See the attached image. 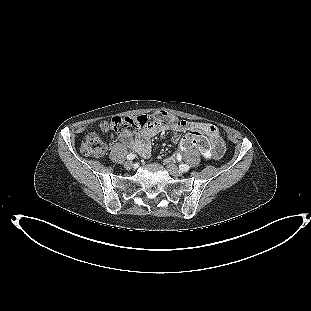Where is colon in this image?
<instances>
[{"label": "colon", "mask_w": 311, "mask_h": 311, "mask_svg": "<svg viewBox=\"0 0 311 311\" xmlns=\"http://www.w3.org/2000/svg\"><path fill=\"white\" fill-rule=\"evenodd\" d=\"M188 122L169 115L166 112H157L153 118L146 115L136 117H114L108 122L101 124L103 132H113L119 135H127L135 130L149 128L154 125H173L186 127ZM183 145L186 147L195 146L199 148L205 156H209V142L200 133L191 131L184 139ZM107 147L102 137L95 131L86 134L81 144V152L86 156L100 157L106 153Z\"/></svg>", "instance_id": "obj_1"}]
</instances>
